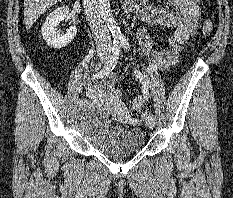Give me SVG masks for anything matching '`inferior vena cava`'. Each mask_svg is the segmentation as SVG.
Masks as SVG:
<instances>
[{
	"label": "inferior vena cava",
	"mask_w": 233,
	"mask_h": 198,
	"mask_svg": "<svg viewBox=\"0 0 233 198\" xmlns=\"http://www.w3.org/2000/svg\"><path fill=\"white\" fill-rule=\"evenodd\" d=\"M86 19L94 35L97 51H111V38L102 10V0H83Z\"/></svg>",
	"instance_id": "1"
}]
</instances>
